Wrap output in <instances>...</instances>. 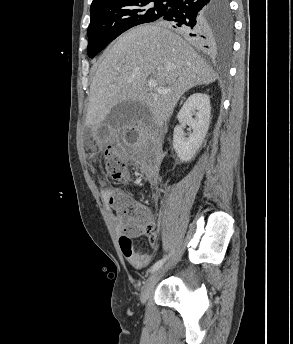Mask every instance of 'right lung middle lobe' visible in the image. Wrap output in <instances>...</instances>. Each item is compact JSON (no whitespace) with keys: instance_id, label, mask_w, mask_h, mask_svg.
<instances>
[{"instance_id":"dd1d6c3e","label":"right lung middle lobe","mask_w":293,"mask_h":344,"mask_svg":"<svg viewBox=\"0 0 293 344\" xmlns=\"http://www.w3.org/2000/svg\"><path fill=\"white\" fill-rule=\"evenodd\" d=\"M168 0H117L90 10L88 49L90 58L96 56L111 41L126 30L143 23L161 19L167 11ZM214 44L230 46L232 19L228 0H216L213 15Z\"/></svg>"}]
</instances>
